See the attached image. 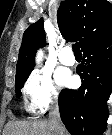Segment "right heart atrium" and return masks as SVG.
<instances>
[{"label": "right heart atrium", "instance_id": "1", "mask_svg": "<svg viewBox=\"0 0 112 135\" xmlns=\"http://www.w3.org/2000/svg\"><path fill=\"white\" fill-rule=\"evenodd\" d=\"M26 107L32 112H40L57 103L59 90L51 76L47 73L34 71L23 86Z\"/></svg>", "mask_w": 112, "mask_h": 135}]
</instances>
